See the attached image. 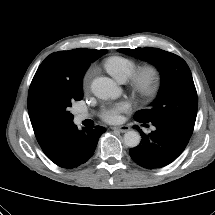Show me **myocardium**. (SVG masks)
Here are the masks:
<instances>
[{
    "label": "myocardium",
    "mask_w": 215,
    "mask_h": 215,
    "mask_svg": "<svg viewBox=\"0 0 215 215\" xmlns=\"http://www.w3.org/2000/svg\"><path fill=\"white\" fill-rule=\"evenodd\" d=\"M160 69L153 63L138 67L128 78L132 92L142 99L155 95L160 82Z\"/></svg>",
    "instance_id": "f54148a6"
}]
</instances>
